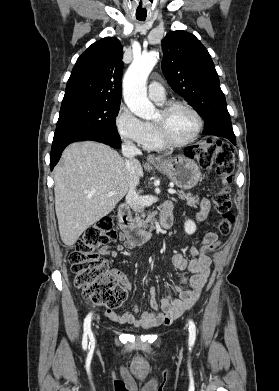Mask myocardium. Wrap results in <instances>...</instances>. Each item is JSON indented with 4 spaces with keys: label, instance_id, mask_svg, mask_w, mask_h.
<instances>
[{
    "label": "myocardium",
    "instance_id": "myocardium-1",
    "mask_svg": "<svg viewBox=\"0 0 279 391\" xmlns=\"http://www.w3.org/2000/svg\"><path fill=\"white\" fill-rule=\"evenodd\" d=\"M176 107H184V108L188 109L195 116V118L197 120V128H196L194 134L189 139H187L185 141H180V142L174 141L170 137V135L168 133V129H167V117L170 114V112ZM159 112H160L161 117L159 120L154 121L153 125L155 127L156 132H157L159 140L161 141V143L165 147L179 148V147L187 146V145L193 143L195 140H197V138L199 137V135L201 134V132L203 130V118H202L201 114L188 102L180 101V100L166 102L165 104H163L161 106V109Z\"/></svg>",
    "mask_w": 279,
    "mask_h": 391
}]
</instances>
